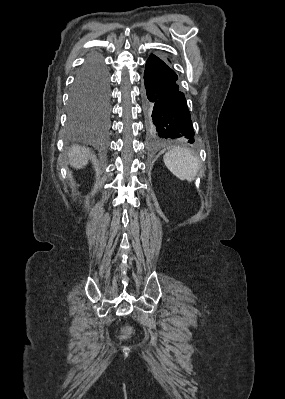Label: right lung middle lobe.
<instances>
[{
  "label": "right lung middle lobe",
  "mask_w": 285,
  "mask_h": 399,
  "mask_svg": "<svg viewBox=\"0 0 285 399\" xmlns=\"http://www.w3.org/2000/svg\"><path fill=\"white\" fill-rule=\"evenodd\" d=\"M109 111V84L106 68L98 56H91L78 72L70 94L69 118L73 126L93 115Z\"/></svg>",
  "instance_id": "obj_1"
}]
</instances>
